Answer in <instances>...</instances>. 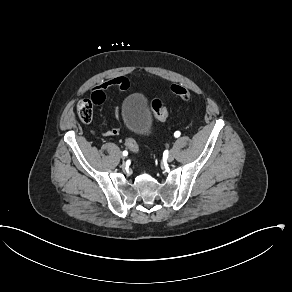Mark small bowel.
<instances>
[{"instance_id":"1","label":"small bowel","mask_w":292,"mask_h":292,"mask_svg":"<svg viewBox=\"0 0 292 292\" xmlns=\"http://www.w3.org/2000/svg\"><path fill=\"white\" fill-rule=\"evenodd\" d=\"M128 86H129V83H128L126 78L116 77L113 79L104 80V81L100 82L97 85V88H99V89L114 88L117 90H126L128 88ZM119 111H120V108L117 105H114L113 109H112V115L116 116L117 112H119ZM117 118L119 119V125L117 127L111 128V129H106L105 131L99 130L97 132V135L99 137H102L104 135H108L109 137H113V136L117 137L119 135V131L124 128V119L122 118V115L118 114ZM90 134L94 135L95 131L91 130Z\"/></svg>"}]
</instances>
